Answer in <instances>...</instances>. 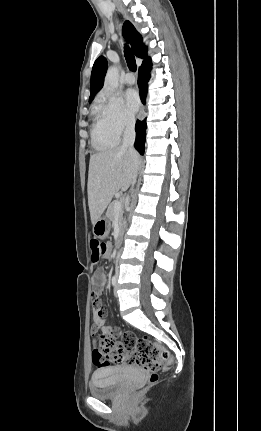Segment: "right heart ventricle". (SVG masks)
I'll use <instances>...</instances> for the list:
<instances>
[{
  "label": "right heart ventricle",
  "instance_id": "1",
  "mask_svg": "<svg viewBox=\"0 0 261 431\" xmlns=\"http://www.w3.org/2000/svg\"><path fill=\"white\" fill-rule=\"evenodd\" d=\"M92 143L101 151L110 150L119 143V136L108 128L99 106L93 111Z\"/></svg>",
  "mask_w": 261,
  "mask_h": 431
}]
</instances>
